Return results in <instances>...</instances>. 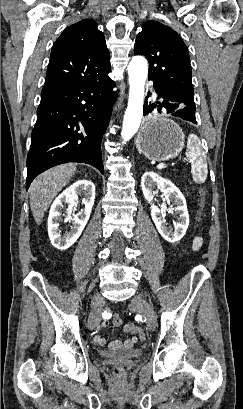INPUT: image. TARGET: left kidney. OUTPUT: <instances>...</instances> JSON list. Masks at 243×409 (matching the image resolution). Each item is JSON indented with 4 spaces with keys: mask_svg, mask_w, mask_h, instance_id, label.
<instances>
[{
    "mask_svg": "<svg viewBox=\"0 0 243 409\" xmlns=\"http://www.w3.org/2000/svg\"><path fill=\"white\" fill-rule=\"evenodd\" d=\"M163 191L168 203L176 205L179 218L174 223L175 230H170L162 219V211L153 204L156 194L155 188ZM141 188L145 199L151 204V217L158 232L170 243L179 241L186 233L189 226V214L186 200L180 190L169 180L162 178L157 173L146 172L141 179Z\"/></svg>",
    "mask_w": 243,
    "mask_h": 409,
    "instance_id": "left-kidney-1",
    "label": "left kidney"
}]
</instances>
